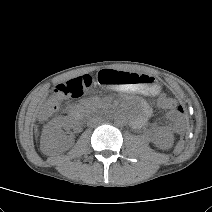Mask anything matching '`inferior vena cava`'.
Masks as SVG:
<instances>
[{
    "label": "inferior vena cava",
    "instance_id": "obj_1",
    "mask_svg": "<svg viewBox=\"0 0 212 212\" xmlns=\"http://www.w3.org/2000/svg\"><path fill=\"white\" fill-rule=\"evenodd\" d=\"M102 119L100 117H90L87 121L88 126L92 127L98 123H100Z\"/></svg>",
    "mask_w": 212,
    "mask_h": 212
}]
</instances>
